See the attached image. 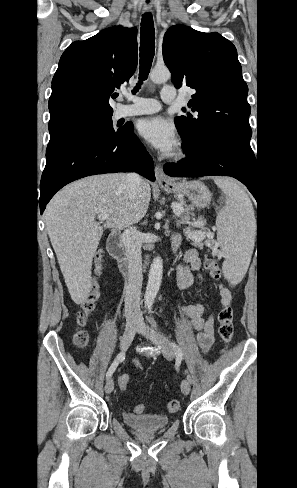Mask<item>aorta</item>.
<instances>
[{
  "instance_id": "1",
  "label": "aorta",
  "mask_w": 297,
  "mask_h": 488,
  "mask_svg": "<svg viewBox=\"0 0 297 488\" xmlns=\"http://www.w3.org/2000/svg\"><path fill=\"white\" fill-rule=\"evenodd\" d=\"M170 71L166 67H155L150 72V79L154 83H163L170 78ZM163 274V261L157 256L150 266L149 277L144 296L145 305L151 306L159 291Z\"/></svg>"
}]
</instances>
